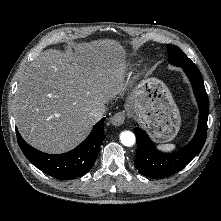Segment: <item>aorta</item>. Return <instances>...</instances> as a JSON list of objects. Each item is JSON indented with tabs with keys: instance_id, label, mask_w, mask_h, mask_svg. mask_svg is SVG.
Segmentation results:
<instances>
[{
	"instance_id": "1",
	"label": "aorta",
	"mask_w": 221,
	"mask_h": 221,
	"mask_svg": "<svg viewBox=\"0 0 221 221\" xmlns=\"http://www.w3.org/2000/svg\"><path fill=\"white\" fill-rule=\"evenodd\" d=\"M120 141L124 146H132L136 142L135 135L131 131H123L120 134Z\"/></svg>"
}]
</instances>
